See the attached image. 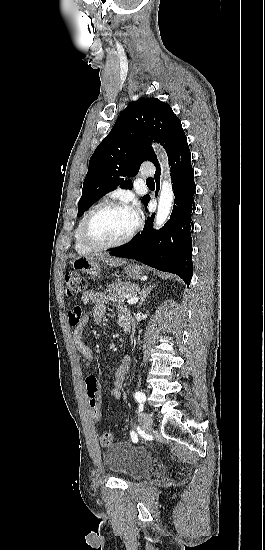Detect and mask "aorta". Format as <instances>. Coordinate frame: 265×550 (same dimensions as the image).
I'll return each instance as SVG.
<instances>
[{"mask_svg":"<svg viewBox=\"0 0 265 550\" xmlns=\"http://www.w3.org/2000/svg\"><path fill=\"white\" fill-rule=\"evenodd\" d=\"M154 147L156 148L158 146L154 145ZM160 157L162 159L161 163L163 167L164 178L161 183L159 204L155 217V228H160L165 224L171 212L172 203L174 200L172 184L168 179L169 171L167 166V157L164 153H161Z\"/></svg>","mask_w":265,"mask_h":550,"instance_id":"1","label":"aorta"}]
</instances>
